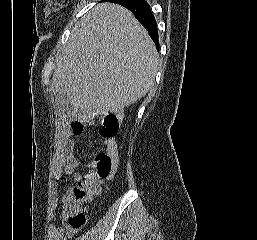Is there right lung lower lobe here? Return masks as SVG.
<instances>
[{
    "instance_id": "98d812e1",
    "label": "right lung lower lobe",
    "mask_w": 257,
    "mask_h": 240,
    "mask_svg": "<svg viewBox=\"0 0 257 240\" xmlns=\"http://www.w3.org/2000/svg\"><path fill=\"white\" fill-rule=\"evenodd\" d=\"M129 9L138 19V21L151 34V38L159 49L158 31L155 18L145 0H128L122 5Z\"/></svg>"
}]
</instances>
